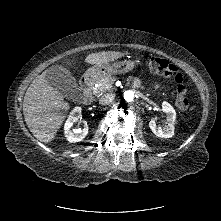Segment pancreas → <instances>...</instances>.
<instances>
[{
	"label": "pancreas",
	"mask_w": 221,
	"mask_h": 221,
	"mask_svg": "<svg viewBox=\"0 0 221 221\" xmlns=\"http://www.w3.org/2000/svg\"><path fill=\"white\" fill-rule=\"evenodd\" d=\"M115 77L112 76H106L104 78H101L97 81V87H93L92 91L93 94L96 97H99L103 93L110 91L112 89V86L115 82Z\"/></svg>",
	"instance_id": "1"
}]
</instances>
